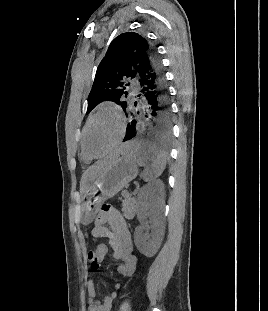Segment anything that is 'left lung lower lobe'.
I'll use <instances>...</instances> for the list:
<instances>
[{"label": "left lung lower lobe", "mask_w": 268, "mask_h": 311, "mask_svg": "<svg viewBox=\"0 0 268 311\" xmlns=\"http://www.w3.org/2000/svg\"><path fill=\"white\" fill-rule=\"evenodd\" d=\"M137 80L140 91L134 105L139 103V110L131 114L123 141H168L172 120L169 94L161 60L152 48L149 58L140 63Z\"/></svg>", "instance_id": "0a47b994"}]
</instances>
